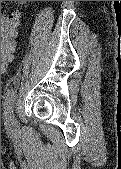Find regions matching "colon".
Masks as SVG:
<instances>
[{"mask_svg":"<svg viewBox=\"0 0 121 169\" xmlns=\"http://www.w3.org/2000/svg\"><path fill=\"white\" fill-rule=\"evenodd\" d=\"M20 22L18 12H8L2 17L1 27V68L7 69L15 50V39Z\"/></svg>","mask_w":121,"mask_h":169,"instance_id":"obj_1","label":"colon"}]
</instances>
